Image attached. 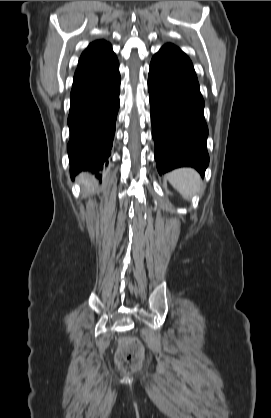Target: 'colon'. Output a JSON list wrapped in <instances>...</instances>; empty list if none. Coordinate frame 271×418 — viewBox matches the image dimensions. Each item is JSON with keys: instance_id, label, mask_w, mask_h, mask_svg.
<instances>
[{"instance_id": "colon-1", "label": "colon", "mask_w": 271, "mask_h": 418, "mask_svg": "<svg viewBox=\"0 0 271 418\" xmlns=\"http://www.w3.org/2000/svg\"><path fill=\"white\" fill-rule=\"evenodd\" d=\"M143 358V348L135 339H126L119 348L116 361L123 370H133L140 366Z\"/></svg>"}]
</instances>
